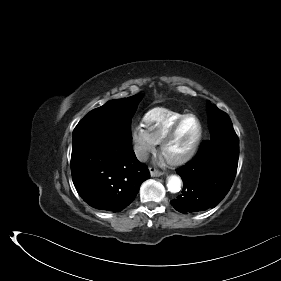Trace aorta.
Returning a JSON list of instances; mask_svg holds the SVG:
<instances>
[{
    "label": "aorta",
    "mask_w": 281,
    "mask_h": 281,
    "mask_svg": "<svg viewBox=\"0 0 281 281\" xmlns=\"http://www.w3.org/2000/svg\"><path fill=\"white\" fill-rule=\"evenodd\" d=\"M168 191L171 193H177L181 189V179L176 175H171L168 177L167 182Z\"/></svg>",
    "instance_id": "aorta-1"
}]
</instances>
